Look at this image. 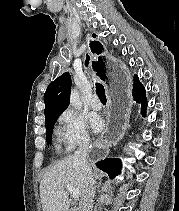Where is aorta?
<instances>
[{
  "label": "aorta",
  "instance_id": "1",
  "mask_svg": "<svg viewBox=\"0 0 179 211\" xmlns=\"http://www.w3.org/2000/svg\"><path fill=\"white\" fill-rule=\"evenodd\" d=\"M70 104L76 109H80L82 107L79 93L76 90H72V92H71Z\"/></svg>",
  "mask_w": 179,
  "mask_h": 211
}]
</instances>
